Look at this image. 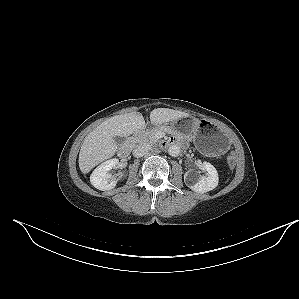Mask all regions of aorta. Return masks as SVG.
I'll return each mask as SVG.
<instances>
[{
  "mask_svg": "<svg viewBox=\"0 0 299 299\" xmlns=\"http://www.w3.org/2000/svg\"><path fill=\"white\" fill-rule=\"evenodd\" d=\"M180 150H181L180 147L174 144L168 148V153L172 157H177L180 154Z\"/></svg>",
  "mask_w": 299,
  "mask_h": 299,
  "instance_id": "1",
  "label": "aorta"
}]
</instances>
